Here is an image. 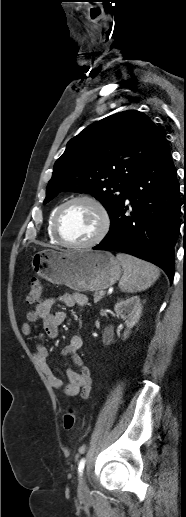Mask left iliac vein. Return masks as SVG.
I'll return each mask as SVG.
<instances>
[{
	"mask_svg": "<svg viewBox=\"0 0 186 517\" xmlns=\"http://www.w3.org/2000/svg\"><path fill=\"white\" fill-rule=\"evenodd\" d=\"M78 492H79L80 496H84L85 494L88 493V486H87L86 479H85L84 475L80 477L79 486H78Z\"/></svg>",
	"mask_w": 186,
	"mask_h": 517,
	"instance_id": "1",
	"label": "left iliac vein"
}]
</instances>
